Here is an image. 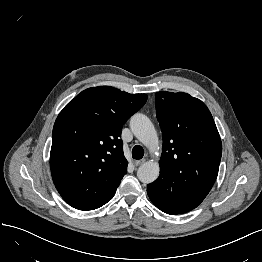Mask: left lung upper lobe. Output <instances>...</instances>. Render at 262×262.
<instances>
[{"label": "left lung upper lobe", "instance_id": "left-lung-upper-lobe-1", "mask_svg": "<svg viewBox=\"0 0 262 262\" xmlns=\"http://www.w3.org/2000/svg\"><path fill=\"white\" fill-rule=\"evenodd\" d=\"M163 148L160 175L147 186L152 202L174 214L196 208L211 190L222 155L207 106L187 93L155 94Z\"/></svg>", "mask_w": 262, "mask_h": 262}]
</instances>
